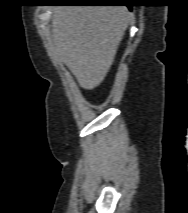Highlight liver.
Listing matches in <instances>:
<instances>
[{"instance_id":"obj_1","label":"liver","mask_w":188,"mask_h":213,"mask_svg":"<svg viewBox=\"0 0 188 213\" xmlns=\"http://www.w3.org/2000/svg\"><path fill=\"white\" fill-rule=\"evenodd\" d=\"M132 18L125 6L54 9V46L82 88L92 90L102 83Z\"/></svg>"}]
</instances>
